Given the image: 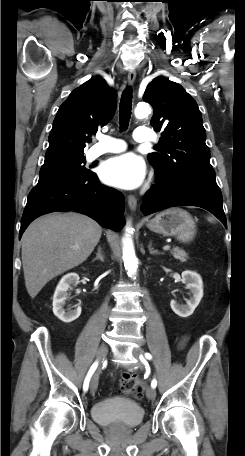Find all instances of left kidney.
Here are the masks:
<instances>
[{
  "mask_svg": "<svg viewBox=\"0 0 245 456\" xmlns=\"http://www.w3.org/2000/svg\"><path fill=\"white\" fill-rule=\"evenodd\" d=\"M182 281L186 283V288L190 290L192 296L187 300L186 305H180L172 300L170 306L175 314L186 318L193 314L203 297V282L201 276L193 271L182 272Z\"/></svg>",
  "mask_w": 245,
  "mask_h": 456,
  "instance_id": "5707ae66",
  "label": "left kidney"
}]
</instances>
